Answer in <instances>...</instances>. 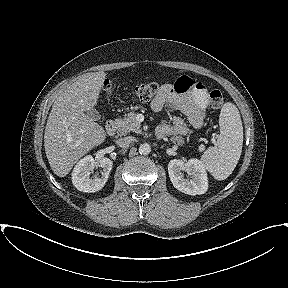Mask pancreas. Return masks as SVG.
Instances as JSON below:
<instances>
[{
  "instance_id": "pancreas-1",
  "label": "pancreas",
  "mask_w": 288,
  "mask_h": 288,
  "mask_svg": "<svg viewBox=\"0 0 288 288\" xmlns=\"http://www.w3.org/2000/svg\"><path fill=\"white\" fill-rule=\"evenodd\" d=\"M115 124L118 136L127 135L130 132L141 133V124L136 121V114L134 112L128 113L124 118L116 119ZM171 141L178 145H182L184 142L181 136H175Z\"/></svg>"
}]
</instances>
